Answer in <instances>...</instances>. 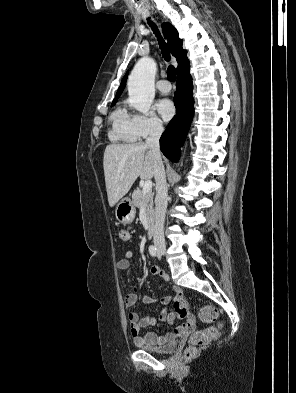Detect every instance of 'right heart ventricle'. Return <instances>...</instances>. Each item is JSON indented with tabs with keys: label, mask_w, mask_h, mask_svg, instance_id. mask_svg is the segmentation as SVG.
Returning <instances> with one entry per match:
<instances>
[{
	"label": "right heart ventricle",
	"mask_w": 296,
	"mask_h": 393,
	"mask_svg": "<svg viewBox=\"0 0 296 393\" xmlns=\"http://www.w3.org/2000/svg\"><path fill=\"white\" fill-rule=\"evenodd\" d=\"M111 121L109 137L112 141L134 143L138 139L133 125V116L125 108H117L111 116Z\"/></svg>",
	"instance_id": "obj_1"
}]
</instances>
